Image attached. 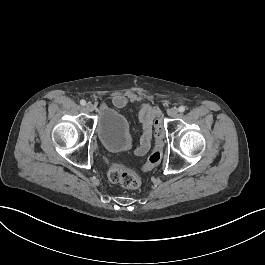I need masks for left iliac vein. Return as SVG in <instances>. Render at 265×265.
<instances>
[{
  "instance_id": "1",
  "label": "left iliac vein",
  "mask_w": 265,
  "mask_h": 265,
  "mask_svg": "<svg viewBox=\"0 0 265 265\" xmlns=\"http://www.w3.org/2000/svg\"><path fill=\"white\" fill-rule=\"evenodd\" d=\"M168 115L170 117H177L178 116V110L176 108H172L168 111Z\"/></svg>"
}]
</instances>
